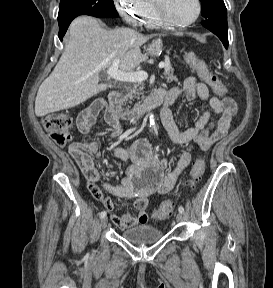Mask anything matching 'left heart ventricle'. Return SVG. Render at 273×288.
<instances>
[{
  "instance_id": "b2bd125f",
  "label": "left heart ventricle",
  "mask_w": 273,
  "mask_h": 288,
  "mask_svg": "<svg viewBox=\"0 0 273 288\" xmlns=\"http://www.w3.org/2000/svg\"><path fill=\"white\" fill-rule=\"evenodd\" d=\"M166 15L177 22L191 19L196 13L195 0H157Z\"/></svg>"
}]
</instances>
